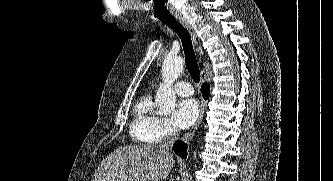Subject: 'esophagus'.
Returning a JSON list of instances; mask_svg holds the SVG:
<instances>
[{"instance_id": "obj_1", "label": "esophagus", "mask_w": 333, "mask_h": 181, "mask_svg": "<svg viewBox=\"0 0 333 181\" xmlns=\"http://www.w3.org/2000/svg\"><path fill=\"white\" fill-rule=\"evenodd\" d=\"M177 20L188 30V32H189V34H190V36H191V38L194 42V45L196 47V51L198 52V56H199V60H200L201 59V52H199L200 43L197 39V35L195 33V30L190 25V23L187 21V19H185L183 17H178ZM200 76H201V82L204 83L206 81V73H205V70L203 68L201 69ZM205 109H206V102L204 100H202L197 121L192 126V128L182 137L183 141H189L190 139H192L194 133L196 132V130L198 129V127H199V125L202 121Z\"/></svg>"}]
</instances>
